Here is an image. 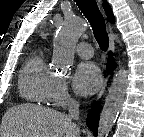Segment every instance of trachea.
I'll use <instances>...</instances> for the list:
<instances>
[{
	"label": "trachea",
	"instance_id": "obj_1",
	"mask_svg": "<svg viewBox=\"0 0 144 137\" xmlns=\"http://www.w3.org/2000/svg\"><path fill=\"white\" fill-rule=\"evenodd\" d=\"M79 9L88 19L93 29L96 41L101 50L106 51L109 46L108 34L106 31L105 20L97 6L95 0H75Z\"/></svg>",
	"mask_w": 144,
	"mask_h": 137
}]
</instances>
